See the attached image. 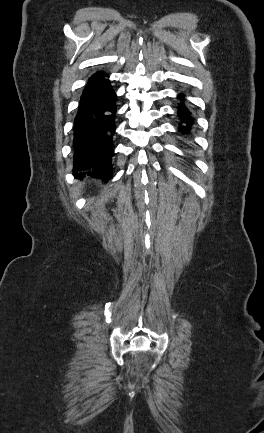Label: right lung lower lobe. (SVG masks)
Wrapping results in <instances>:
<instances>
[{"label": "right lung lower lobe", "instance_id": "right-lung-lower-lobe-1", "mask_svg": "<svg viewBox=\"0 0 264 433\" xmlns=\"http://www.w3.org/2000/svg\"><path fill=\"white\" fill-rule=\"evenodd\" d=\"M108 77L105 72L98 71L89 78L74 120L73 140L75 164L93 168L92 176L105 181L113 177L110 171L117 109L116 93Z\"/></svg>", "mask_w": 264, "mask_h": 433}]
</instances>
